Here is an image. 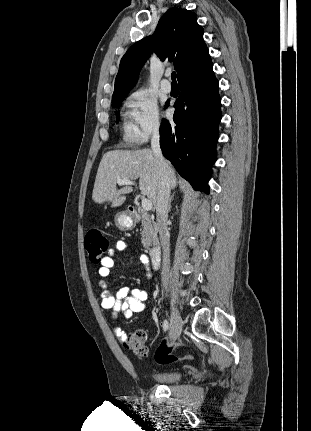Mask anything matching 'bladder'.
<instances>
[{
	"instance_id": "31cf9c89",
	"label": "bladder",
	"mask_w": 311,
	"mask_h": 431,
	"mask_svg": "<svg viewBox=\"0 0 311 431\" xmlns=\"http://www.w3.org/2000/svg\"><path fill=\"white\" fill-rule=\"evenodd\" d=\"M183 376V372L178 369L157 371L151 374L152 380L164 384L179 382L180 380H182Z\"/></svg>"
}]
</instances>
